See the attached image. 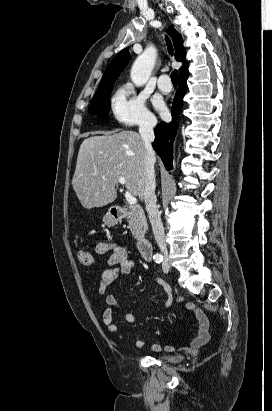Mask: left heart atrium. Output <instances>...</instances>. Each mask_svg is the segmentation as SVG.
<instances>
[{
    "label": "left heart atrium",
    "instance_id": "1",
    "mask_svg": "<svg viewBox=\"0 0 272 411\" xmlns=\"http://www.w3.org/2000/svg\"><path fill=\"white\" fill-rule=\"evenodd\" d=\"M156 106L161 112H164V108H163V105L161 103H157Z\"/></svg>",
    "mask_w": 272,
    "mask_h": 411
}]
</instances>
